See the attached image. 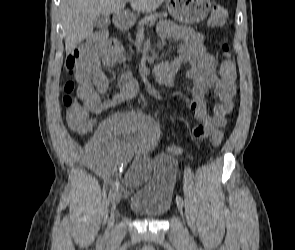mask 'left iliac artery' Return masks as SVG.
Returning a JSON list of instances; mask_svg holds the SVG:
<instances>
[{"label":"left iliac artery","mask_w":295,"mask_h":250,"mask_svg":"<svg viewBox=\"0 0 295 250\" xmlns=\"http://www.w3.org/2000/svg\"><path fill=\"white\" fill-rule=\"evenodd\" d=\"M176 201H177V204H181L183 206L184 204V201H183V198L179 195L176 196Z\"/></svg>","instance_id":"1"}]
</instances>
